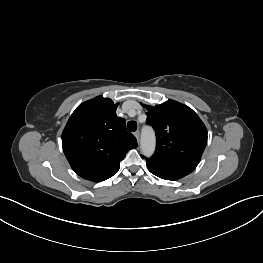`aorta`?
I'll use <instances>...</instances> for the list:
<instances>
[{"label": "aorta", "mask_w": 263, "mask_h": 263, "mask_svg": "<svg viewBox=\"0 0 263 263\" xmlns=\"http://www.w3.org/2000/svg\"><path fill=\"white\" fill-rule=\"evenodd\" d=\"M141 149L146 156H151L153 154L155 150V135L151 129L143 131Z\"/></svg>", "instance_id": "obj_1"}]
</instances>
